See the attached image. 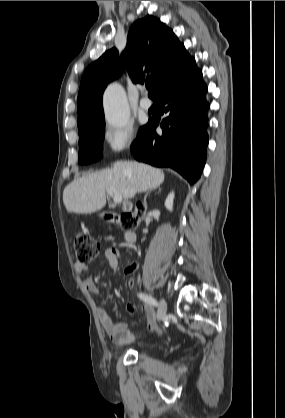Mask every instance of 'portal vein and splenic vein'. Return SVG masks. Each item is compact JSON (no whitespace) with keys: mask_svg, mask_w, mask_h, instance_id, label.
<instances>
[{"mask_svg":"<svg viewBox=\"0 0 285 418\" xmlns=\"http://www.w3.org/2000/svg\"><path fill=\"white\" fill-rule=\"evenodd\" d=\"M108 193L113 196L114 203H120L122 201V196L115 190H108Z\"/></svg>","mask_w":285,"mask_h":418,"instance_id":"1","label":"portal vein and splenic vein"}]
</instances>
